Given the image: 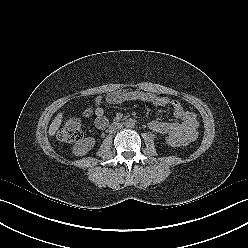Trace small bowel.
Wrapping results in <instances>:
<instances>
[{"label":"small bowel","instance_id":"c3829d8e","mask_svg":"<svg viewBox=\"0 0 248 248\" xmlns=\"http://www.w3.org/2000/svg\"><path fill=\"white\" fill-rule=\"evenodd\" d=\"M126 101H141L149 103L155 107L171 106L173 115L179 122H167L153 119L148 123V127L153 132L177 136L184 143L196 140L198 135L199 122L194 112L186 110L177 100H171L166 96H160L150 92L139 90H117L105 96L99 95L95 98V126L104 129L108 125V118L102 107L104 103L120 104Z\"/></svg>","mask_w":248,"mask_h":248}]
</instances>
